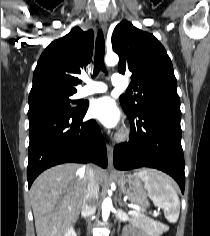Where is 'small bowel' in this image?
<instances>
[{"label": "small bowel", "instance_id": "small-bowel-1", "mask_svg": "<svg viewBox=\"0 0 210 236\" xmlns=\"http://www.w3.org/2000/svg\"><path fill=\"white\" fill-rule=\"evenodd\" d=\"M125 236H144V235H137L133 230H127Z\"/></svg>", "mask_w": 210, "mask_h": 236}]
</instances>
